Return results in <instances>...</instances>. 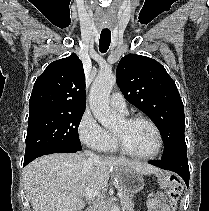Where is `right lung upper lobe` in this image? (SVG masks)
<instances>
[{"instance_id": "right-lung-upper-lobe-1", "label": "right lung upper lobe", "mask_w": 209, "mask_h": 211, "mask_svg": "<svg viewBox=\"0 0 209 211\" xmlns=\"http://www.w3.org/2000/svg\"><path fill=\"white\" fill-rule=\"evenodd\" d=\"M85 107L84 69L74 53L47 66L37 78L29 100V114L84 112Z\"/></svg>"}]
</instances>
